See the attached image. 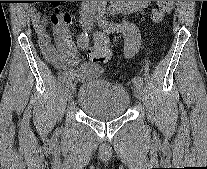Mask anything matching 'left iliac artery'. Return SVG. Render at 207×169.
I'll use <instances>...</instances> for the list:
<instances>
[{"label": "left iliac artery", "instance_id": "obj_1", "mask_svg": "<svg viewBox=\"0 0 207 169\" xmlns=\"http://www.w3.org/2000/svg\"><path fill=\"white\" fill-rule=\"evenodd\" d=\"M105 8L101 7L98 15L99 25L107 31L120 32V35H124V39H128V42H124L125 58H132V54H136L134 43H138V36L136 35V27L128 25H120L110 23L106 20ZM134 85H142L143 79L141 77H134L132 79Z\"/></svg>", "mask_w": 207, "mask_h": 169}]
</instances>
